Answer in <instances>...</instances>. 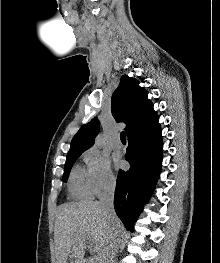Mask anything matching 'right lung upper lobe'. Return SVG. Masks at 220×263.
Listing matches in <instances>:
<instances>
[{"instance_id":"right-lung-upper-lobe-1","label":"right lung upper lobe","mask_w":220,"mask_h":263,"mask_svg":"<svg viewBox=\"0 0 220 263\" xmlns=\"http://www.w3.org/2000/svg\"><path fill=\"white\" fill-rule=\"evenodd\" d=\"M147 95L148 92L139 86V81L127 75L121 77L112 95V115L117 122L126 123L128 138L160 126L158 115ZM99 126L97 118L83 125L73 137L67 155L82 153L91 147Z\"/></svg>"}]
</instances>
